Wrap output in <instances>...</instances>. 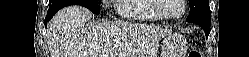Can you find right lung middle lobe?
<instances>
[{
    "label": "right lung middle lobe",
    "mask_w": 249,
    "mask_h": 57,
    "mask_svg": "<svg viewBox=\"0 0 249 57\" xmlns=\"http://www.w3.org/2000/svg\"><path fill=\"white\" fill-rule=\"evenodd\" d=\"M69 5H81L95 14H100L98 0H50L49 7L63 8Z\"/></svg>",
    "instance_id": "dd1d6c3e"
}]
</instances>
